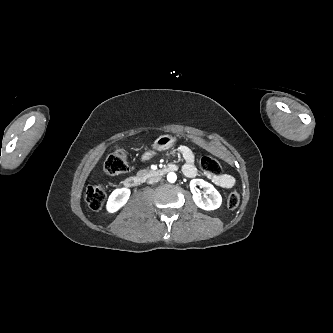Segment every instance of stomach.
<instances>
[{"label":"stomach","mask_w":333,"mask_h":333,"mask_svg":"<svg viewBox=\"0 0 333 333\" xmlns=\"http://www.w3.org/2000/svg\"><path fill=\"white\" fill-rule=\"evenodd\" d=\"M175 138L170 135H161L154 143L157 151H165L173 146Z\"/></svg>","instance_id":"0dacf381"}]
</instances>
